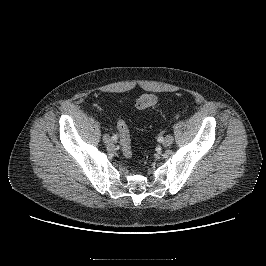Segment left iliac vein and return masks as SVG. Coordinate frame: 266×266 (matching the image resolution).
Returning <instances> with one entry per match:
<instances>
[{
	"label": "left iliac vein",
	"instance_id": "4c4485c4",
	"mask_svg": "<svg viewBox=\"0 0 266 266\" xmlns=\"http://www.w3.org/2000/svg\"><path fill=\"white\" fill-rule=\"evenodd\" d=\"M173 143V137L171 135H167L164 140L162 141V144L165 146V147H168L170 146L171 144Z\"/></svg>",
	"mask_w": 266,
	"mask_h": 266
}]
</instances>
